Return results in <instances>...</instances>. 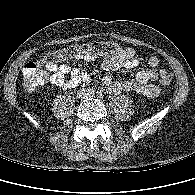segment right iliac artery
Segmentation results:
<instances>
[{
    "instance_id": "obj_1",
    "label": "right iliac artery",
    "mask_w": 195,
    "mask_h": 195,
    "mask_svg": "<svg viewBox=\"0 0 195 195\" xmlns=\"http://www.w3.org/2000/svg\"><path fill=\"white\" fill-rule=\"evenodd\" d=\"M89 92H91V93H95V88H89Z\"/></svg>"
}]
</instances>
